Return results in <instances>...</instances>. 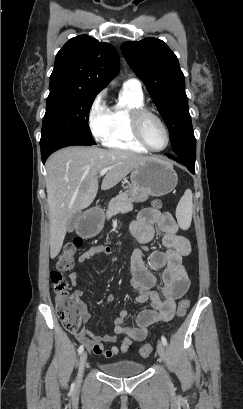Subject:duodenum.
Listing matches in <instances>:
<instances>
[{
    "mask_svg": "<svg viewBox=\"0 0 243 409\" xmlns=\"http://www.w3.org/2000/svg\"><path fill=\"white\" fill-rule=\"evenodd\" d=\"M94 211H95L98 215H102V214H103L102 210H101L99 207H95V208H94Z\"/></svg>",
    "mask_w": 243,
    "mask_h": 409,
    "instance_id": "410a0bca",
    "label": "duodenum"
}]
</instances>
